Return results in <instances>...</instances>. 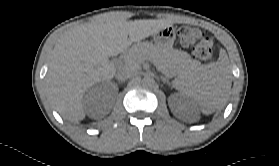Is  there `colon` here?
Returning <instances> with one entry per match:
<instances>
[{
    "instance_id": "colon-1",
    "label": "colon",
    "mask_w": 279,
    "mask_h": 166,
    "mask_svg": "<svg viewBox=\"0 0 279 166\" xmlns=\"http://www.w3.org/2000/svg\"><path fill=\"white\" fill-rule=\"evenodd\" d=\"M178 37L185 47L191 49L195 58L210 62L214 59L213 44L210 39L203 36L200 29L190 26H181Z\"/></svg>"
}]
</instances>
